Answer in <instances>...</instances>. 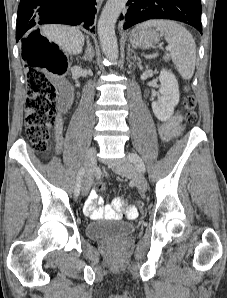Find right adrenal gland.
Here are the masks:
<instances>
[{
  "mask_svg": "<svg viewBox=\"0 0 227 298\" xmlns=\"http://www.w3.org/2000/svg\"><path fill=\"white\" fill-rule=\"evenodd\" d=\"M93 57H94V50H93V48H92V46H91V44H90V41H89V39H88V37H87V48H86V50H85V54H84V60L85 61H92V59H93Z\"/></svg>",
  "mask_w": 227,
  "mask_h": 298,
  "instance_id": "1",
  "label": "right adrenal gland"
}]
</instances>
